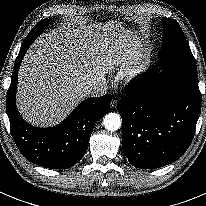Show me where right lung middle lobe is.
Here are the masks:
<instances>
[{
  "label": "right lung middle lobe",
  "instance_id": "obj_1",
  "mask_svg": "<svg viewBox=\"0 0 206 206\" xmlns=\"http://www.w3.org/2000/svg\"><path fill=\"white\" fill-rule=\"evenodd\" d=\"M50 24V20L43 19L41 20L29 33L30 35L37 34V36L44 30L46 26Z\"/></svg>",
  "mask_w": 206,
  "mask_h": 206
}]
</instances>
